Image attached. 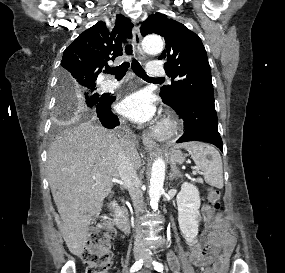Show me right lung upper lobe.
Wrapping results in <instances>:
<instances>
[{
	"instance_id": "1",
	"label": "right lung upper lobe",
	"mask_w": 285,
	"mask_h": 273,
	"mask_svg": "<svg viewBox=\"0 0 285 273\" xmlns=\"http://www.w3.org/2000/svg\"><path fill=\"white\" fill-rule=\"evenodd\" d=\"M132 27L131 21L119 14L111 32L103 21L85 30L65 49L61 75L74 84L96 85L107 61L122 55V41L132 37Z\"/></svg>"
}]
</instances>
